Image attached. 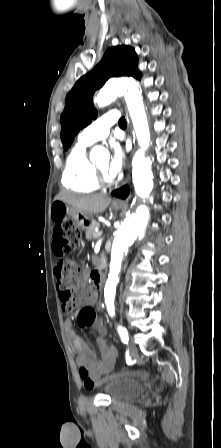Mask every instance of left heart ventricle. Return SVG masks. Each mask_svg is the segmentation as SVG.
Listing matches in <instances>:
<instances>
[{
	"label": "left heart ventricle",
	"mask_w": 221,
	"mask_h": 448,
	"mask_svg": "<svg viewBox=\"0 0 221 448\" xmlns=\"http://www.w3.org/2000/svg\"><path fill=\"white\" fill-rule=\"evenodd\" d=\"M107 160H103L102 162H100L99 164H97V167L107 175L106 173V168H107ZM108 176V175H107ZM109 177V176H108Z\"/></svg>",
	"instance_id": "left-heart-ventricle-1"
}]
</instances>
